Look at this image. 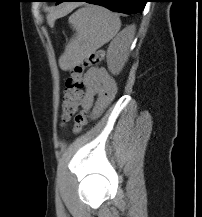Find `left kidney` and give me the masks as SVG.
I'll return each instance as SVG.
<instances>
[{
	"mask_svg": "<svg viewBox=\"0 0 202 217\" xmlns=\"http://www.w3.org/2000/svg\"><path fill=\"white\" fill-rule=\"evenodd\" d=\"M129 47L130 41L122 34L110 43L106 58L108 69L113 75H118L122 71L128 59Z\"/></svg>",
	"mask_w": 202,
	"mask_h": 217,
	"instance_id": "obj_1",
	"label": "left kidney"
}]
</instances>
